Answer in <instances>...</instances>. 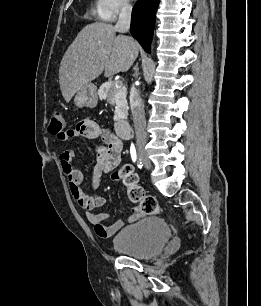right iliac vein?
Returning <instances> with one entry per match:
<instances>
[{
	"label": "right iliac vein",
	"instance_id": "63e3f726",
	"mask_svg": "<svg viewBox=\"0 0 261 306\" xmlns=\"http://www.w3.org/2000/svg\"><path fill=\"white\" fill-rule=\"evenodd\" d=\"M144 145H145V143H144L143 140H138L137 141L139 159L145 165V167L147 169H151V163H150V160L148 159V156L146 154Z\"/></svg>",
	"mask_w": 261,
	"mask_h": 306
}]
</instances>
